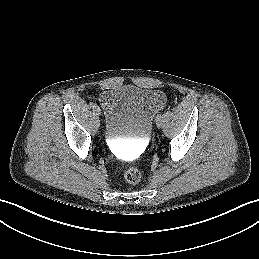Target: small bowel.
<instances>
[{"label":"small bowel","mask_w":259,"mask_h":259,"mask_svg":"<svg viewBox=\"0 0 259 259\" xmlns=\"http://www.w3.org/2000/svg\"><path fill=\"white\" fill-rule=\"evenodd\" d=\"M158 99V106H161L162 104L160 103L159 97L157 96Z\"/></svg>","instance_id":"small-bowel-1"}]
</instances>
